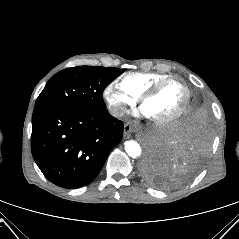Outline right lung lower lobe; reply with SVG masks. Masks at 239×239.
<instances>
[{"instance_id":"98d812e1","label":"right lung lower lobe","mask_w":239,"mask_h":239,"mask_svg":"<svg viewBox=\"0 0 239 239\" xmlns=\"http://www.w3.org/2000/svg\"><path fill=\"white\" fill-rule=\"evenodd\" d=\"M123 128L106 108L37 109L32 116V155L49 181L63 188H79L98 175L121 141Z\"/></svg>"}]
</instances>
